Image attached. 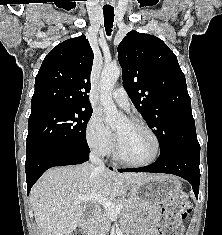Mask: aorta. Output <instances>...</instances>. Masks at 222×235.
Segmentation results:
<instances>
[{"mask_svg":"<svg viewBox=\"0 0 222 235\" xmlns=\"http://www.w3.org/2000/svg\"><path fill=\"white\" fill-rule=\"evenodd\" d=\"M121 74L118 65L105 66L100 78V102L105 113V121L110 126H116L124 120V115L119 112L112 99V90Z\"/></svg>","mask_w":222,"mask_h":235,"instance_id":"1","label":"aorta"}]
</instances>
